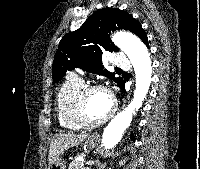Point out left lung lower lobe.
Returning a JSON list of instances; mask_svg holds the SVG:
<instances>
[{"label":"left lung lower lobe","mask_w":200,"mask_h":169,"mask_svg":"<svg viewBox=\"0 0 200 169\" xmlns=\"http://www.w3.org/2000/svg\"><path fill=\"white\" fill-rule=\"evenodd\" d=\"M144 43L146 44L147 47H149L148 46V40H145ZM119 87L121 88L122 91H125V89H124V81L121 82ZM131 139L134 141V135H131Z\"/></svg>","instance_id":"left-lung-lower-lobe-1"}]
</instances>
